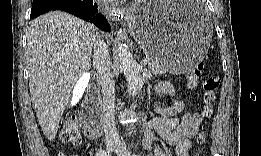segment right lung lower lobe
<instances>
[{"label": "right lung lower lobe", "instance_id": "obj_1", "mask_svg": "<svg viewBox=\"0 0 261 156\" xmlns=\"http://www.w3.org/2000/svg\"><path fill=\"white\" fill-rule=\"evenodd\" d=\"M52 10L68 12L86 21H91L101 30L111 31L108 21L98 13L97 3L93 0H33L30 17L35 18Z\"/></svg>", "mask_w": 261, "mask_h": 156}]
</instances>
